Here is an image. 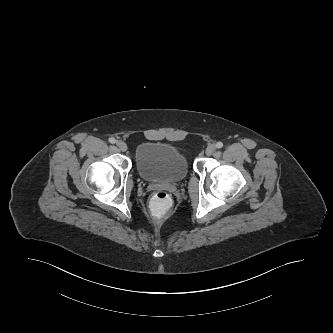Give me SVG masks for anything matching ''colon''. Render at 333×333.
Here are the masks:
<instances>
[{"instance_id":"5ec220e1","label":"colon","mask_w":333,"mask_h":333,"mask_svg":"<svg viewBox=\"0 0 333 333\" xmlns=\"http://www.w3.org/2000/svg\"><path fill=\"white\" fill-rule=\"evenodd\" d=\"M171 196L165 191H157L150 200L151 212L156 217H164L171 207Z\"/></svg>"}]
</instances>
